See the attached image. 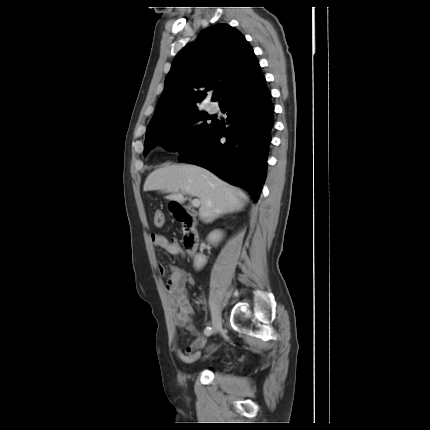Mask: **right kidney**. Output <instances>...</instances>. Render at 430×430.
Here are the masks:
<instances>
[{
  "label": "right kidney",
  "mask_w": 430,
  "mask_h": 430,
  "mask_svg": "<svg viewBox=\"0 0 430 430\" xmlns=\"http://www.w3.org/2000/svg\"><path fill=\"white\" fill-rule=\"evenodd\" d=\"M222 237V232L220 230H215L212 233H210L208 239L210 242L217 243ZM206 262V259L202 257L201 254H199L196 257L195 261V267L200 269Z\"/></svg>",
  "instance_id": "obj_1"
}]
</instances>
